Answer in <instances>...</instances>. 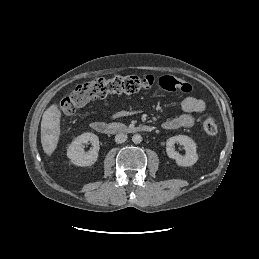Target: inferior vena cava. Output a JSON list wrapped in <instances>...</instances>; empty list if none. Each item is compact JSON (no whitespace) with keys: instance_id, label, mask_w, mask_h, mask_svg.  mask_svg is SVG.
Listing matches in <instances>:
<instances>
[{"instance_id":"obj_1","label":"inferior vena cava","mask_w":259,"mask_h":259,"mask_svg":"<svg viewBox=\"0 0 259 259\" xmlns=\"http://www.w3.org/2000/svg\"><path fill=\"white\" fill-rule=\"evenodd\" d=\"M127 140V135L124 133H119L115 136V142L117 144L124 143Z\"/></svg>"}]
</instances>
